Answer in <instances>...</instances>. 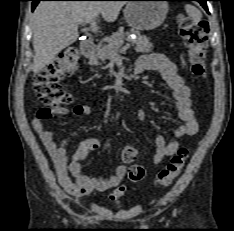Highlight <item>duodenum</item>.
<instances>
[{
    "label": "duodenum",
    "mask_w": 234,
    "mask_h": 231,
    "mask_svg": "<svg viewBox=\"0 0 234 231\" xmlns=\"http://www.w3.org/2000/svg\"><path fill=\"white\" fill-rule=\"evenodd\" d=\"M96 51V43L93 40H87L85 41L81 46V53L84 57L90 58L94 55ZM142 68L136 67L135 73L141 72Z\"/></svg>",
    "instance_id": "obj_1"
}]
</instances>
